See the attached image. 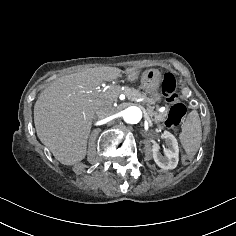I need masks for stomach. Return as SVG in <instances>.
Here are the masks:
<instances>
[{
	"mask_svg": "<svg viewBox=\"0 0 236 236\" xmlns=\"http://www.w3.org/2000/svg\"><path fill=\"white\" fill-rule=\"evenodd\" d=\"M161 75L158 70L150 69L142 73L141 88L150 94L152 102H159L161 99L158 89L160 86Z\"/></svg>",
	"mask_w": 236,
	"mask_h": 236,
	"instance_id": "stomach-1",
	"label": "stomach"
}]
</instances>
